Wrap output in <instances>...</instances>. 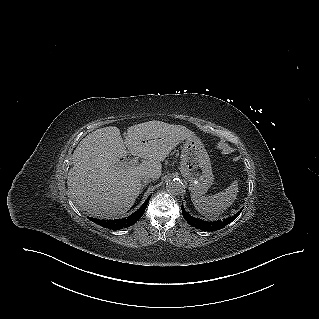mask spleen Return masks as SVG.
Instances as JSON below:
<instances>
[{"mask_svg":"<svg viewBox=\"0 0 319 319\" xmlns=\"http://www.w3.org/2000/svg\"><path fill=\"white\" fill-rule=\"evenodd\" d=\"M238 193V181H234L224 191L212 196L191 194L196 210L206 217H217L228 209L235 201Z\"/></svg>","mask_w":319,"mask_h":319,"instance_id":"3e777b00","label":"spleen"}]
</instances>
